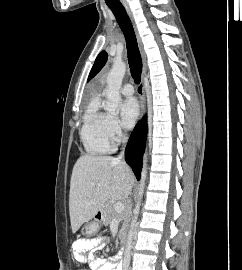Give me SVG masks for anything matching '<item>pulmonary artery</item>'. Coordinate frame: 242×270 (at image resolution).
Returning <instances> with one entry per match:
<instances>
[{
	"mask_svg": "<svg viewBox=\"0 0 242 270\" xmlns=\"http://www.w3.org/2000/svg\"><path fill=\"white\" fill-rule=\"evenodd\" d=\"M121 93L125 96H131L134 93V88L131 84H126L121 88Z\"/></svg>",
	"mask_w": 242,
	"mask_h": 270,
	"instance_id": "obj_1",
	"label": "pulmonary artery"
}]
</instances>
